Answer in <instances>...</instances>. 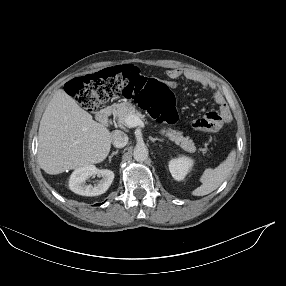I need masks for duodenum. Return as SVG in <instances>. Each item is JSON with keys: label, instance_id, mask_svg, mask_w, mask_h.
I'll return each instance as SVG.
<instances>
[{"label": "duodenum", "instance_id": "1", "mask_svg": "<svg viewBox=\"0 0 286 286\" xmlns=\"http://www.w3.org/2000/svg\"><path fill=\"white\" fill-rule=\"evenodd\" d=\"M111 112H112L111 107H105L102 110H100L97 115L99 122L105 127L109 126V117L111 115Z\"/></svg>", "mask_w": 286, "mask_h": 286}]
</instances>
